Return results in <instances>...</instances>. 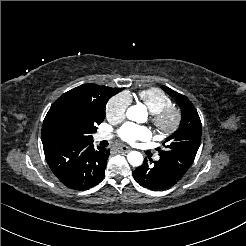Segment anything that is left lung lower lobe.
I'll return each mask as SVG.
<instances>
[{
    "label": "left lung lower lobe",
    "instance_id": "obj_1",
    "mask_svg": "<svg viewBox=\"0 0 246 246\" xmlns=\"http://www.w3.org/2000/svg\"><path fill=\"white\" fill-rule=\"evenodd\" d=\"M149 160L145 158L143 165L133 171V176L141 186L150 190L167 189L175 185L186 173L163 158L155 162Z\"/></svg>",
    "mask_w": 246,
    "mask_h": 246
}]
</instances>
